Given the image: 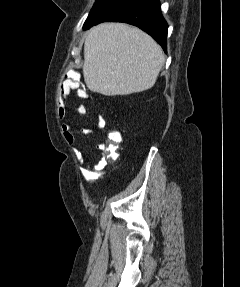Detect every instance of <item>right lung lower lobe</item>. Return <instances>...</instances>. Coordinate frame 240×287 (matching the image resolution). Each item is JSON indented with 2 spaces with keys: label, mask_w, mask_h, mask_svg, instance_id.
<instances>
[{
  "label": "right lung lower lobe",
  "mask_w": 240,
  "mask_h": 287,
  "mask_svg": "<svg viewBox=\"0 0 240 287\" xmlns=\"http://www.w3.org/2000/svg\"><path fill=\"white\" fill-rule=\"evenodd\" d=\"M101 22L135 25L151 35L166 52L168 25L158 0H110L86 29Z\"/></svg>",
  "instance_id": "98d812e1"
}]
</instances>
